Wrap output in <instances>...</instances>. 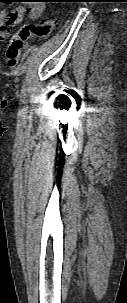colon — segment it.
<instances>
[{
	"label": "colon",
	"mask_w": 127,
	"mask_h": 303,
	"mask_svg": "<svg viewBox=\"0 0 127 303\" xmlns=\"http://www.w3.org/2000/svg\"><path fill=\"white\" fill-rule=\"evenodd\" d=\"M56 25V19L49 18L41 23H25L11 38L6 51V59L10 66H15L19 62L23 49L27 46V41L31 38L48 37Z\"/></svg>",
	"instance_id": "colon-1"
}]
</instances>
